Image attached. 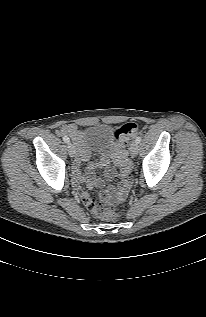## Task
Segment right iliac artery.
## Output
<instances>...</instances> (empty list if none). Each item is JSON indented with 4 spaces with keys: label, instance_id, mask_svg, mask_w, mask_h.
I'll list each match as a JSON object with an SVG mask.
<instances>
[{
    "label": "right iliac artery",
    "instance_id": "1",
    "mask_svg": "<svg viewBox=\"0 0 206 317\" xmlns=\"http://www.w3.org/2000/svg\"><path fill=\"white\" fill-rule=\"evenodd\" d=\"M63 141H64L65 143H69V142H70V140H69V138H68L67 136H64V137H63Z\"/></svg>",
    "mask_w": 206,
    "mask_h": 317
}]
</instances>
